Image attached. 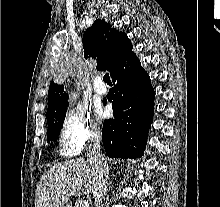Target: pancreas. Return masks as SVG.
<instances>
[{"instance_id": "obj_1", "label": "pancreas", "mask_w": 220, "mask_h": 207, "mask_svg": "<svg viewBox=\"0 0 220 207\" xmlns=\"http://www.w3.org/2000/svg\"><path fill=\"white\" fill-rule=\"evenodd\" d=\"M75 207H80V203L77 202Z\"/></svg>"}]
</instances>
